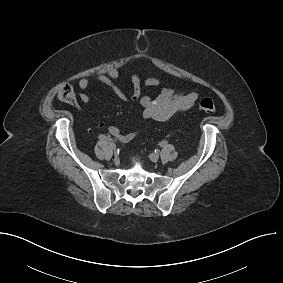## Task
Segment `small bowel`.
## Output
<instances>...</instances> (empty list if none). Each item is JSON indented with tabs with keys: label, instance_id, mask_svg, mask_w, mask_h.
Here are the masks:
<instances>
[{
	"label": "small bowel",
	"instance_id": "c3829d8e",
	"mask_svg": "<svg viewBox=\"0 0 283 283\" xmlns=\"http://www.w3.org/2000/svg\"><path fill=\"white\" fill-rule=\"evenodd\" d=\"M132 92L128 95L119 84V72L115 68L109 69L107 72L98 75L95 81L109 87L114 94L122 101L129 99L139 101L143 107L142 116L144 119H150L157 122H166L175 115L191 109L197 102L198 94L195 92L177 93L172 88H164L155 96L142 95V87H154L160 83L159 76L151 71L150 75L142 81L140 75L133 71L131 73ZM91 84V79L82 78L78 82L81 90H86ZM80 101L82 103L89 102V96L86 93H81ZM99 124L97 127H101ZM109 134L116 138L121 143H129L134 140L139 132L132 131L129 133H122L116 126L108 128Z\"/></svg>",
	"mask_w": 283,
	"mask_h": 283
}]
</instances>
